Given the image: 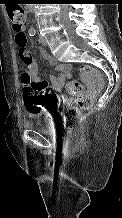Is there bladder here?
Masks as SVG:
<instances>
[{
	"label": "bladder",
	"instance_id": "31cf9c89",
	"mask_svg": "<svg viewBox=\"0 0 122 218\" xmlns=\"http://www.w3.org/2000/svg\"><path fill=\"white\" fill-rule=\"evenodd\" d=\"M44 118L45 115L42 112H29L25 115L27 126L38 132H47L49 130V123Z\"/></svg>",
	"mask_w": 122,
	"mask_h": 218
}]
</instances>
